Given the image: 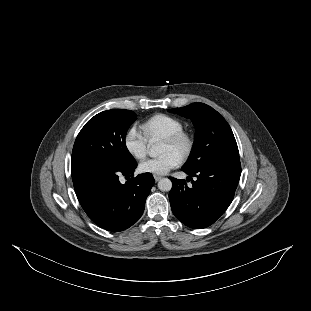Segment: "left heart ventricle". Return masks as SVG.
Here are the masks:
<instances>
[{
    "label": "left heart ventricle",
    "mask_w": 311,
    "mask_h": 311,
    "mask_svg": "<svg viewBox=\"0 0 311 311\" xmlns=\"http://www.w3.org/2000/svg\"><path fill=\"white\" fill-rule=\"evenodd\" d=\"M170 151L176 152L178 155H180L181 149L164 141L161 153H167Z\"/></svg>",
    "instance_id": "left-heart-ventricle-1"
}]
</instances>
